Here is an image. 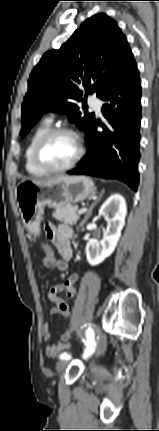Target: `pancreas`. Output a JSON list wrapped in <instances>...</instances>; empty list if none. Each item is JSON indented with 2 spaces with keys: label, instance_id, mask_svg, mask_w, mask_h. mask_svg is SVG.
Segmentation results:
<instances>
[{
  "label": "pancreas",
  "instance_id": "pancreas-1",
  "mask_svg": "<svg viewBox=\"0 0 159 431\" xmlns=\"http://www.w3.org/2000/svg\"><path fill=\"white\" fill-rule=\"evenodd\" d=\"M77 212H78V206H73L69 204V205L57 208L55 212H53L52 216L61 222H65L70 225H73V224H76L80 218Z\"/></svg>",
  "mask_w": 159,
  "mask_h": 431
}]
</instances>
